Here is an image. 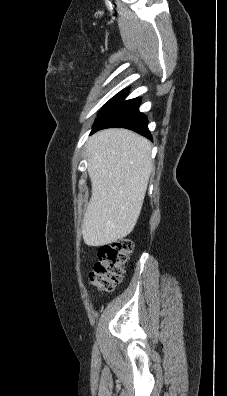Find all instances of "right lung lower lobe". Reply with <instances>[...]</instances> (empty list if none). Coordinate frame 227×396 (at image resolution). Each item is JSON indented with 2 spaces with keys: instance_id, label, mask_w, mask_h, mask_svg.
<instances>
[{
  "instance_id": "obj_1",
  "label": "right lung lower lobe",
  "mask_w": 227,
  "mask_h": 396,
  "mask_svg": "<svg viewBox=\"0 0 227 396\" xmlns=\"http://www.w3.org/2000/svg\"><path fill=\"white\" fill-rule=\"evenodd\" d=\"M127 94V90L119 93L103 107L92 129V133L105 128L122 127L133 130L152 140L147 128V118L138 110L141 99L135 98L124 101Z\"/></svg>"
}]
</instances>
